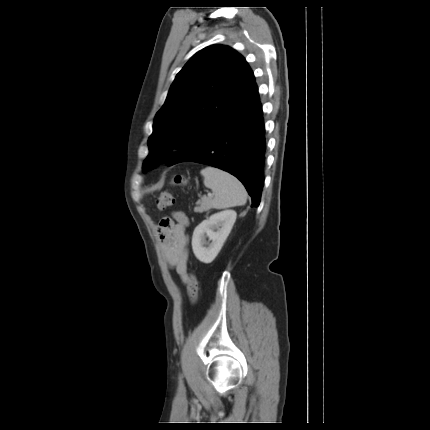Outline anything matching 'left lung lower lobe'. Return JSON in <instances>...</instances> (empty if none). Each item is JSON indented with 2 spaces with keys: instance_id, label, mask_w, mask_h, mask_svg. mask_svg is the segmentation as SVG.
Returning a JSON list of instances; mask_svg holds the SVG:
<instances>
[{
  "instance_id": "left-lung-lower-lobe-1",
  "label": "left lung lower lobe",
  "mask_w": 430,
  "mask_h": 430,
  "mask_svg": "<svg viewBox=\"0 0 430 430\" xmlns=\"http://www.w3.org/2000/svg\"><path fill=\"white\" fill-rule=\"evenodd\" d=\"M265 130L258 89L233 114L201 125L193 141L169 165L192 161L237 177L258 207L264 184Z\"/></svg>"
}]
</instances>
